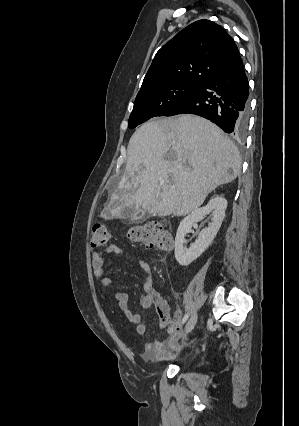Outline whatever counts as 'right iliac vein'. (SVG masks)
Instances as JSON below:
<instances>
[{
  "label": "right iliac vein",
  "instance_id": "1",
  "mask_svg": "<svg viewBox=\"0 0 299 426\" xmlns=\"http://www.w3.org/2000/svg\"><path fill=\"white\" fill-rule=\"evenodd\" d=\"M197 318H198V315H197L196 312H194L191 315V317L189 318L188 322L186 323L183 331L180 332L181 337L187 335L194 328V326L196 325V322H197Z\"/></svg>",
  "mask_w": 299,
  "mask_h": 426
}]
</instances>
